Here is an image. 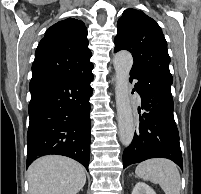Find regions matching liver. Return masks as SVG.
<instances>
[{
    "mask_svg": "<svg viewBox=\"0 0 201 194\" xmlns=\"http://www.w3.org/2000/svg\"><path fill=\"white\" fill-rule=\"evenodd\" d=\"M84 167L63 156H44L28 169L29 194H77L85 185Z\"/></svg>",
    "mask_w": 201,
    "mask_h": 194,
    "instance_id": "obj_1",
    "label": "liver"
}]
</instances>
